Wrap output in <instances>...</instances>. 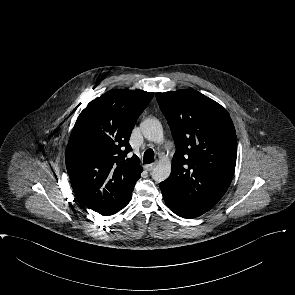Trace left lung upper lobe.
<instances>
[{"label": "left lung upper lobe", "instance_id": "obj_1", "mask_svg": "<svg viewBox=\"0 0 295 295\" xmlns=\"http://www.w3.org/2000/svg\"><path fill=\"white\" fill-rule=\"evenodd\" d=\"M156 98L176 146L170 177L161 184L200 216L230 186L237 156L234 124L224 107L196 90L157 93Z\"/></svg>", "mask_w": 295, "mask_h": 295}]
</instances>
